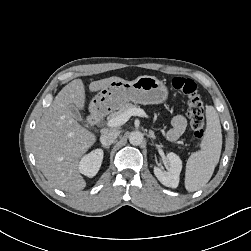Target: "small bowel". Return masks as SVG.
Segmentation results:
<instances>
[{
	"label": "small bowel",
	"instance_id": "small-bowel-1",
	"mask_svg": "<svg viewBox=\"0 0 251 251\" xmlns=\"http://www.w3.org/2000/svg\"><path fill=\"white\" fill-rule=\"evenodd\" d=\"M186 128V119L182 115H177L172 120V127L167 133V137L170 141L177 140L184 132Z\"/></svg>",
	"mask_w": 251,
	"mask_h": 251
}]
</instances>
